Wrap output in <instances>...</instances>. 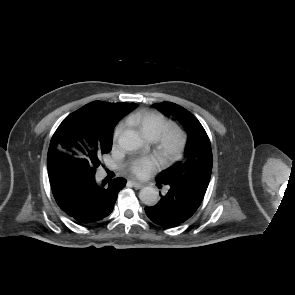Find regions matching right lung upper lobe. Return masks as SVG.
<instances>
[{"mask_svg":"<svg viewBox=\"0 0 295 295\" xmlns=\"http://www.w3.org/2000/svg\"><path fill=\"white\" fill-rule=\"evenodd\" d=\"M133 103L91 102L70 114L54 133L47 156V165L55 157H62L75 165H83L87 159L88 146L113 134V129ZM83 124L85 129H79Z\"/></svg>","mask_w":295,"mask_h":295,"instance_id":"1","label":"right lung upper lobe"}]
</instances>
